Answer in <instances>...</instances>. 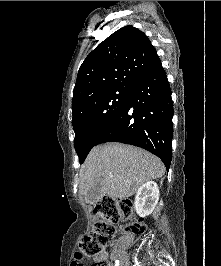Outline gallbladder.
<instances>
[{"label": "gallbladder", "mask_w": 221, "mask_h": 266, "mask_svg": "<svg viewBox=\"0 0 221 266\" xmlns=\"http://www.w3.org/2000/svg\"><path fill=\"white\" fill-rule=\"evenodd\" d=\"M104 195L105 192L103 191L101 185L97 184L87 191L85 194V200L88 204H95L99 202Z\"/></svg>", "instance_id": "obj_1"}]
</instances>
